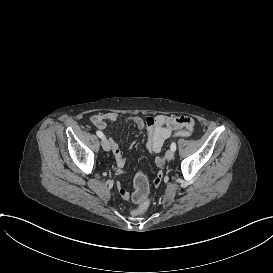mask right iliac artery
Returning <instances> with one entry per match:
<instances>
[{
  "mask_svg": "<svg viewBox=\"0 0 273 273\" xmlns=\"http://www.w3.org/2000/svg\"><path fill=\"white\" fill-rule=\"evenodd\" d=\"M96 134H97L98 137H100V138H102V139L104 138L103 132L97 131Z\"/></svg>",
  "mask_w": 273,
  "mask_h": 273,
  "instance_id": "1",
  "label": "right iliac artery"
}]
</instances>
